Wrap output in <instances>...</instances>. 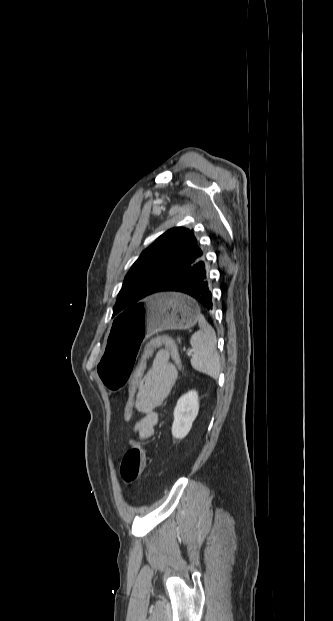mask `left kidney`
Segmentation results:
<instances>
[{
	"label": "left kidney",
	"mask_w": 333,
	"mask_h": 621,
	"mask_svg": "<svg viewBox=\"0 0 333 621\" xmlns=\"http://www.w3.org/2000/svg\"><path fill=\"white\" fill-rule=\"evenodd\" d=\"M199 412V399L196 391H189L179 398L174 409L172 435L182 439L189 433Z\"/></svg>",
	"instance_id": "5707ae66"
}]
</instances>
